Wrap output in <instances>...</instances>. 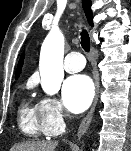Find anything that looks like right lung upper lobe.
Masks as SVG:
<instances>
[{"mask_svg": "<svg viewBox=\"0 0 131 151\" xmlns=\"http://www.w3.org/2000/svg\"><path fill=\"white\" fill-rule=\"evenodd\" d=\"M83 2V9L85 11L87 20L89 22L90 25L93 26V22H92V11H91V0H82ZM23 59H24V54L21 55L19 63H18V69L16 71V79L19 77L22 65H23Z\"/></svg>", "mask_w": 131, "mask_h": 151, "instance_id": "cb5924a9", "label": "right lung upper lobe"}]
</instances>
